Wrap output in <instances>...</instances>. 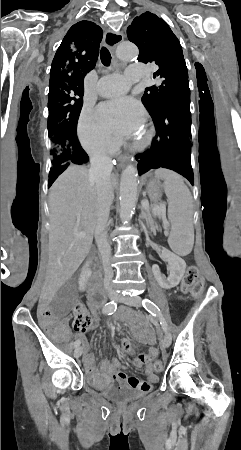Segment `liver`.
<instances>
[{"label": "liver", "instance_id": "obj_1", "mask_svg": "<svg viewBox=\"0 0 241 450\" xmlns=\"http://www.w3.org/2000/svg\"><path fill=\"white\" fill-rule=\"evenodd\" d=\"M88 174V168L69 166L50 188L51 230L41 300H52L91 250L97 224L98 194L95 184L89 186ZM110 182L114 190L118 184L114 174L110 176ZM79 232H86L85 238H75Z\"/></svg>", "mask_w": 241, "mask_h": 450}]
</instances>
